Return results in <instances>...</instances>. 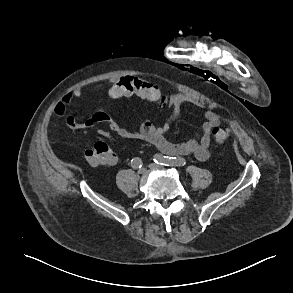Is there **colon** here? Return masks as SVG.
<instances>
[{
	"label": "colon",
	"instance_id": "colon-1",
	"mask_svg": "<svg viewBox=\"0 0 293 293\" xmlns=\"http://www.w3.org/2000/svg\"><path fill=\"white\" fill-rule=\"evenodd\" d=\"M140 96L149 100H155L157 98L156 93L146 90H141ZM229 135L230 131L227 126H215L212 129V136L217 143H224ZM84 158L90 165L108 167L114 162L115 154L107 144L104 142H97L85 152Z\"/></svg>",
	"mask_w": 293,
	"mask_h": 293
}]
</instances>
